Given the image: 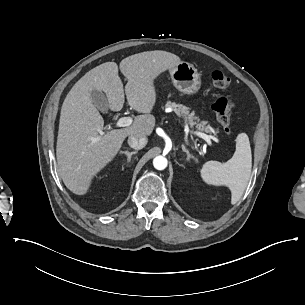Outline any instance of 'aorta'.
I'll use <instances>...</instances> for the list:
<instances>
[{"label": "aorta", "instance_id": "obj_1", "mask_svg": "<svg viewBox=\"0 0 305 305\" xmlns=\"http://www.w3.org/2000/svg\"><path fill=\"white\" fill-rule=\"evenodd\" d=\"M168 165V160L165 156L159 155L153 159V166L157 170H164Z\"/></svg>", "mask_w": 305, "mask_h": 305}]
</instances>
